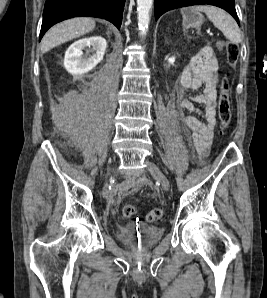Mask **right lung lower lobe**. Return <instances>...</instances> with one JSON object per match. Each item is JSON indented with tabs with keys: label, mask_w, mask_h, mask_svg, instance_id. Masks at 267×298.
<instances>
[{
	"label": "right lung lower lobe",
	"mask_w": 267,
	"mask_h": 298,
	"mask_svg": "<svg viewBox=\"0 0 267 298\" xmlns=\"http://www.w3.org/2000/svg\"><path fill=\"white\" fill-rule=\"evenodd\" d=\"M125 0H46L40 40L54 24L73 17H97L120 29Z\"/></svg>",
	"instance_id": "right-lung-lower-lobe-1"
}]
</instances>
